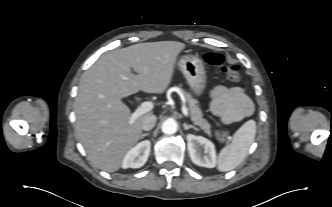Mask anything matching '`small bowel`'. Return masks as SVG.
Wrapping results in <instances>:
<instances>
[{"mask_svg": "<svg viewBox=\"0 0 332 207\" xmlns=\"http://www.w3.org/2000/svg\"><path fill=\"white\" fill-rule=\"evenodd\" d=\"M212 97V113L224 124L240 121L253 113V103L240 87L217 86L212 90Z\"/></svg>", "mask_w": 332, "mask_h": 207, "instance_id": "c3829d8e", "label": "small bowel"}]
</instances>
